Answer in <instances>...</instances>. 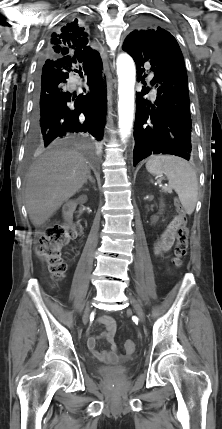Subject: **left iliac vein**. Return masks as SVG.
Returning a JSON list of instances; mask_svg holds the SVG:
<instances>
[{
    "label": "left iliac vein",
    "mask_w": 222,
    "mask_h": 429,
    "mask_svg": "<svg viewBox=\"0 0 222 429\" xmlns=\"http://www.w3.org/2000/svg\"><path fill=\"white\" fill-rule=\"evenodd\" d=\"M128 297H129V300H130V302H131V304H132V306H133V308H134V310H135V312H136V314H137V316L139 317V319L141 320V321H143V319H144V313H143V309H142V307H141V304L139 303V301L135 298V297H133L132 295H128Z\"/></svg>",
    "instance_id": "1"
}]
</instances>
